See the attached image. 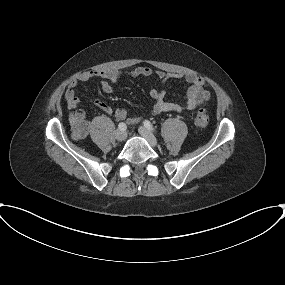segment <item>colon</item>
<instances>
[{
  "mask_svg": "<svg viewBox=\"0 0 285 285\" xmlns=\"http://www.w3.org/2000/svg\"><path fill=\"white\" fill-rule=\"evenodd\" d=\"M209 121V116L206 109L201 106L198 108L196 117H195V125L198 129L203 130L207 127ZM89 130V125L83 119L77 120L73 124L72 135L74 139H82L84 138Z\"/></svg>",
  "mask_w": 285,
  "mask_h": 285,
  "instance_id": "colon-1",
  "label": "colon"
}]
</instances>
